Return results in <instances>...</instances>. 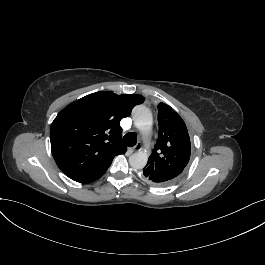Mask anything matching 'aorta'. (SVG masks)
<instances>
[{"mask_svg": "<svg viewBox=\"0 0 265 265\" xmlns=\"http://www.w3.org/2000/svg\"><path fill=\"white\" fill-rule=\"evenodd\" d=\"M133 120L139 129L147 131L152 125V114L147 107L139 105L133 110ZM147 161L148 153L144 151L136 152L129 157V163L135 170L143 169L146 166Z\"/></svg>", "mask_w": 265, "mask_h": 265, "instance_id": "762f6f07", "label": "aorta"}]
</instances>
